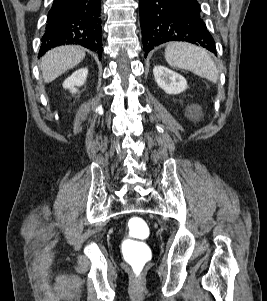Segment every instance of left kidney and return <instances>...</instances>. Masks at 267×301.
Masks as SVG:
<instances>
[{
	"mask_svg": "<svg viewBox=\"0 0 267 301\" xmlns=\"http://www.w3.org/2000/svg\"><path fill=\"white\" fill-rule=\"evenodd\" d=\"M153 74L157 85L167 94H179L187 88L186 79L167 67L155 66Z\"/></svg>",
	"mask_w": 267,
	"mask_h": 301,
	"instance_id": "5707ae66",
	"label": "left kidney"
}]
</instances>
